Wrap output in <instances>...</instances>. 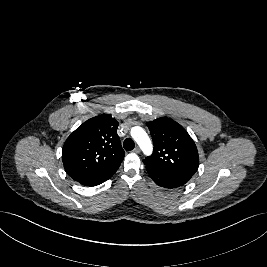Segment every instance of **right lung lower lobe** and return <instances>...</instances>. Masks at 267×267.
I'll list each match as a JSON object with an SVG mask.
<instances>
[{"label": "right lung lower lobe", "mask_w": 267, "mask_h": 267, "mask_svg": "<svg viewBox=\"0 0 267 267\" xmlns=\"http://www.w3.org/2000/svg\"><path fill=\"white\" fill-rule=\"evenodd\" d=\"M119 167L110 168L108 170L102 171L95 175L89 176L87 178L81 179L78 182L85 186H96L99 185L109 178H111Z\"/></svg>", "instance_id": "obj_1"}]
</instances>
